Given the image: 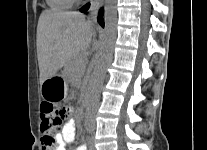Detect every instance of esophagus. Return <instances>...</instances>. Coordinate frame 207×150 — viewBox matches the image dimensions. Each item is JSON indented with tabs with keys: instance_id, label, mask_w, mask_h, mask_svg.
Instances as JSON below:
<instances>
[{
	"instance_id": "obj_1",
	"label": "esophagus",
	"mask_w": 207,
	"mask_h": 150,
	"mask_svg": "<svg viewBox=\"0 0 207 150\" xmlns=\"http://www.w3.org/2000/svg\"><path fill=\"white\" fill-rule=\"evenodd\" d=\"M103 4V0H91V9L89 13V20L92 23L97 22V15L100 7Z\"/></svg>"
}]
</instances>
